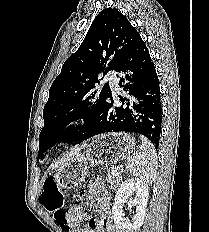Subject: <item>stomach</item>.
I'll return each instance as SVG.
<instances>
[{
  "label": "stomach",
  "instance_id": "obj_1",
  "mask_svg": "<svg viewBox=\"0 0 209 232\" xmlns=\"http://www.w3.org/2000/svg\"><path fill=\"white\" fill-rule=\"evenodd\" d=\"M134 148L133 138L126 133L100 135L85 151L78 153L58 168L56 182L62 189L75 188L84 181L91 166L116 163L130 155Z\"/></svg>",
  "mask_w": 209,
  "mask_h": 232
}]
</instances>
